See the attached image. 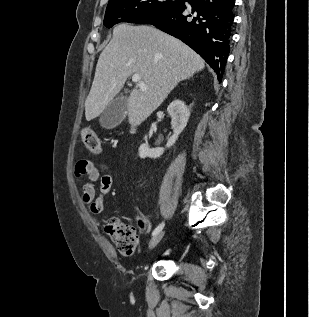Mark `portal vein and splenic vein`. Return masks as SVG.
I'll use <instances>...</instances> for the list:
<instances>
[{
	"label": "portal vein and splenic vein",
	"mask_w": 309,
	"mask_h": 317,
	"mask_svg": "<svg viewBox=\"0 0 309 317\" xmlns=\"http://www.w3.org/2000/svg\"><path fill=\"white\" fill-rule=\"evenodd\" d=\"M132 81L134 83H137V86L140 88V90L142 91H146L147 90V87L145 85V83L141 82V77L139 74H133L132 75Z\"/></svg>",
	"instance_id": "obj_1"
}]
</instances>
